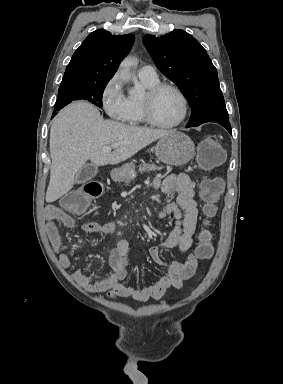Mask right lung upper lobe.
Masks as SVG:
<instances>
[{
    "label": "right lung upper lobe",
    "mask_w": 283,
    "mask_h": 384,
    "mask_svg": "<svg viewBox=\"0 0 283 384\" xmlns=\"http://www.w3.org/2000/svg\"><path fill=\"white\" fill-rule=\"evenodd\" d=\"M134 40L132 34L116 36L103 29L90 33L73 54L61 87L108 83Z\"/></svg>",
    "instance_id": "1"
}]
</instances>
